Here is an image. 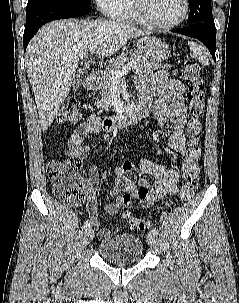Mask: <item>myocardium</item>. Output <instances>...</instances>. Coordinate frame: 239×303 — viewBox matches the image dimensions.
Instances as JSON below:
<instances>
[{"label":"myocardium","mask_w":239,"mask_h":303,"mask_svg":"<svg viewBox=\"0 0 239 303\" xmlns=\"http://www.w3.org/2000/svg\"><path fill=\"white\" fill-rule=\"evenodd\" d=\"M131 2H132V8L134 14L137 17L138 21L143 25L152 29L167 30V29L175 28L187 19L190 12L189 0H183V5H184L183 13L178 19L170 23H156L148 18L144 7V0H131Z\"/></svg>","instance_id":"myocardium-1"}]
</instances>
